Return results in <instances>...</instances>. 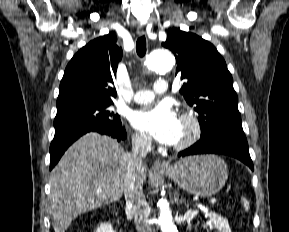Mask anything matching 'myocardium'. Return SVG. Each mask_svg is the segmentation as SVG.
<instances>
[{
    "label": "myocardium",
    "instance_id": "f54148a6",
    "mask_svg": "<svg viewBox=\"0 0 289 232\" xmlns=\"http://www.w3.org/2000/svg\"><path fill=\"white\" fill-rule=\"evenodd\" d=\"M180 122L186 124L189 128L187 137L174 145L176 150H184L195 144L202 133L201 122L198 117L191 112H184L180 115Z\"/></svg>",
    "mask_w": 289,
    "mask_h": 232
}]
</instances>
